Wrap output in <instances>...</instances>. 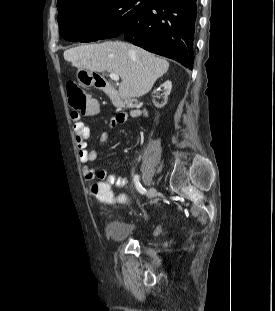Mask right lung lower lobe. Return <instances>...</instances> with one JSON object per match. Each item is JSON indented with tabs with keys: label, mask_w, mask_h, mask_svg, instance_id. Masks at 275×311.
Masks as SVG:
<instances>
[{
	"label": "right lung lower lobe",
	"mask_w": 275,
	"mask_h": 311,
	"mask_svg": "<svg viewBox=\"0 0 275 311\" xmlns=\"http://www.w3.org/2000/svg\"><path fill=\"white\" fill-rule=\"evenodd\" d=\"M196 16L197 0H156L138 13L121 34L137 46L192 69Z\"/></svg>",
	"instance_id": "98d812e1"
}]
</instances>
